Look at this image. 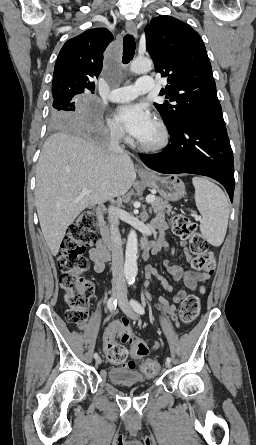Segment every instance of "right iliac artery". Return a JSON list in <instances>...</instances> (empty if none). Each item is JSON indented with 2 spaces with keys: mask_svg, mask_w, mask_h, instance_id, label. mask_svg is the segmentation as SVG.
Returning a JSON list of instances; mask_svg holds the SVG:
<instances>
[{
  "mask_svg": "<svg viewBox=\"0 0 256 445\" xmlns=\"http://www.w3.org/2000/svg\"><path fill=\"white\" fill-rule=\"evenodd\" d=\"M107 306L111 312H114L117 306V300L114 297L109 298ZM98 357H99L98 353H95L94 358L97 359Z\"/></svg>",
  "mask_w": 256,
  "mask_h": 445,
  "instance_id": "82829eb1",
  "label": "right iliac artery"
}]
</instances>
